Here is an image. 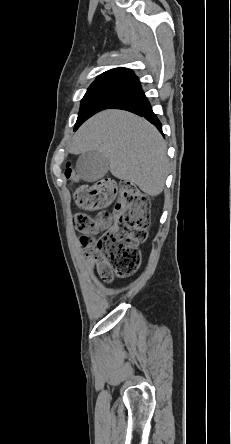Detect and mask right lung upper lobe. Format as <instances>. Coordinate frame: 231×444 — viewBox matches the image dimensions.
<instances>
[{
    "mask_svg": "<svg viewBox=\"0 0 231 444\" xmlns=\"http://www.w3.org/2000/svg\"><path fill=\"white\" fill-rule=\"evenodd\" d=\"M115 86L124 89L127 93L141 88L139 80L135 74L127 68H115L108 70L97 77L90 88L100 86Z\"/></svg>",
    "mask_w": 231,
    "mask_h": 444,
    "instance_id": "1",
    "label": "right lung upper lobe"
}]
</instances>
